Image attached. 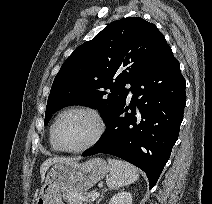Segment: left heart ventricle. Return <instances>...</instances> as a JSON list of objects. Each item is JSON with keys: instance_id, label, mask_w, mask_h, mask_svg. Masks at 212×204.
Listing matches in <instances>:
<instances>
[{"instance_id": "obj_1", "label": "left heart ventricle", "mask_w": 212, "mask_h": 204, "mask_svg": "<svg viewBox=\"0 0 212 204\" xmlns=\"http://www.w3.org/2000/svg\"><path fill=\"white\" fill-rule=\"evenodd\" d=\"M59 142L67 148L84 145L94 133V123L90 117L81 113L65 115L57 126Z\"/></svg>"}]
</instances>
